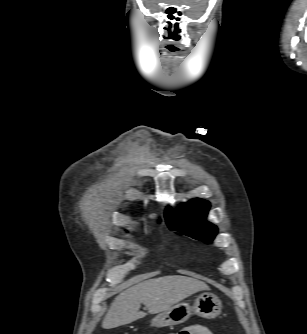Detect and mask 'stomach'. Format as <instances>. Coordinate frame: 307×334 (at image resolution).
<instances>
[{"label": "stomach", "mask_w": 307, "mask_h": 334, "mask_svg": "<svg viewBox=\"0 0 307 334\" xmlns=\"http://www.w3.org/2000/svg\"><path fill=\"white\" fill-rule=\"evenodd\" d=\"M222 310V302L212 293L200 294L193 306L186 302L173 305L171 308L160 312L151 320L154 327L174 326L187 321L192 314L212 319L217 317Z\"/></svg>", "instance_id": "0dacf381"}]
</instances>
